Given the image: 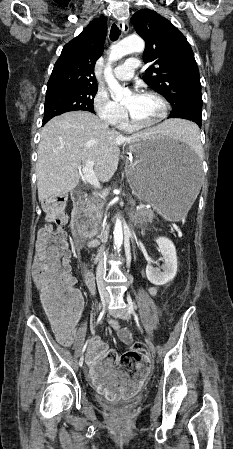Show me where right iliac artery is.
Instances as JSON below:
<instances>
[{"instance_id":"1","label":"right iliac artery","mask_w":233,"mask_h":449,"mask_svg":"<svg viewBox=\"0 0 233 449\" xmlns=\"http://www.w3.org/2000/svg\"><path fill=\"white\" fill-rule=\"evenodd\" d=\"M104 313H105V310H103V311L100 313V315H99V317H98V322L101 321V319H102ZM92 333H94V330H92ZM86 345H87V344L84 345L83 351L85 350Z\"/></svg>"}]
</instances>
